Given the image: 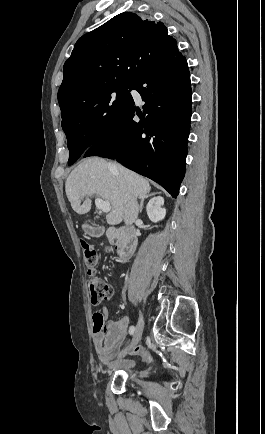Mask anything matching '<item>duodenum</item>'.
I'll return each mask as SVG.
<instances>
[{"mask_svg":"<svg viewBox=\"0 0 265 434\" xmlns=\"http://www.w3.org/2000/svg\"><path fill=\"white\" fill-rule=\"evenodd\" d=\"M137 229L134 226H127L124 228H117V227H110L106 231V235L108 238V241L111 244H121V248L118 251V263L123 264L126 259L131 258L130 252H131V240H130V230Z\"/></svg>","mask_w":265,"mask_h":434,"instance_id":"duodenum-1","label":"duodenum"}]
</instances>
